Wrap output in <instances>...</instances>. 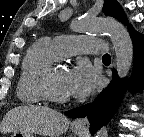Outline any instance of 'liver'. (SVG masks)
<instances>
[{
	"mask_svg": "<svg viewBox=\"0 0 144 137\" xmlns=\"http://www.w3.org/2000/svg\"><path fill=\"white\" fill-rule=\"evenodd\" d=\"M70 125V120L63 114L35 105L15 107L6 113L2 120L0 131L27 132L44 137H60Z\"/></svg>",
	"mask_w": 144,
	"mask_h": 137,
	"instance_id": "obj_1",
	"label": "liver"
}]
</instances>
